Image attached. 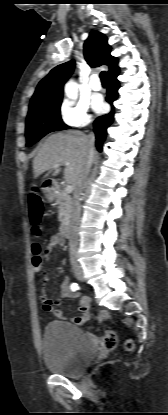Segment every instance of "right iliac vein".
I'll use <instances>...</instances> for the list:
<instances>
[{"label": "right iliac vein", "instance_id": "obj_1", "mask_svg": "<svg viewBox=\"0 0 168 415\" xmlns=\"http://www.w3.org/2000/svg\"><path fill=\"white\" fill-rule=\"evenodd\" d=\"M75 277L80 280V281H84V277L81 271H76L75 272Z\"/></svg>", "mask_w": 168, "mask_h": 415}]
</instances>
